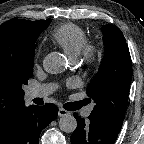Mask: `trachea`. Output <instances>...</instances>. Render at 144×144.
Segmentation results:
<instances>
[{"instance_id": "3493384b", "label": "trachea", "mask_w": 144, "mask_h": 144, "mask_svg": "<svg viewBox=\"0 0 144 144\" xmlns=\"http://www.w3.org/2000/svg\"><path fill=\"white\" fill-rule=\"evenodd\" d=\"M86 105L85 101H79V102H73V103H68L65 105V109L69 111H75L81 108L82 106Z\"/></svg>"}]
</instances>
